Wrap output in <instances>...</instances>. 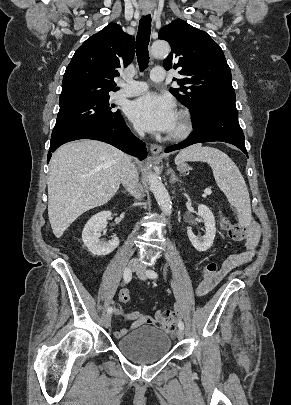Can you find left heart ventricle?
I'll return each mask as SVG.
<instances>
[{
    "instance_id": "obj_1",
    "label": "left heart ventricle",
    "mask_w": 291,
    "mask_h": 405,
    "mask_svg": "<svg viewBox=\"0 0 291 405\" xmlns=\"http://www.w3.org/2000/svg\"><path fill=\"white\" fill-rule=\"evenodd\" d=\"M178 127H179V119H178V117H177V118H176L175 125H174L172 131L176 130Z\"/></svg>"
}]
</instances>
